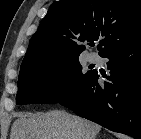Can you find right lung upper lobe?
<instances>
[{"label":"right lung upper lobe","instance_id":"cb5924a9","mask_svg":"<svg viewBox=\"0 0 141 139\" xmlns=\"http://www.w3.org/2000/svg\"><path fill=\"white\" fill-rule=\"evenodd\" d=\"M100 40L99 55L141 39V0H61L30 41L21 69L78 58L84 42Z\"/></svg>","mask_w":141,"mask_h":139}]
</instances>
